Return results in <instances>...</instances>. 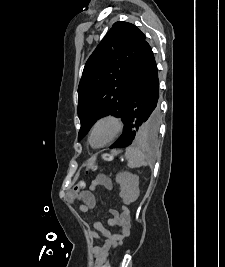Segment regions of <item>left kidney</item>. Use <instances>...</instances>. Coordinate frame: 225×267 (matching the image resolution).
Masks as SVG:
<instances>
[{
	"label": "left kidney",
	"mask_w": 225,
	"mask_h": 267,
	"mask_svg": "<svg viewBox=\"0 0 225 267\" xmlns=\"http://www.w3.org/2000/svg\"><path fill=\"white\" fill-rule=\"evenodd\" d=\"M116 182L120 184V197L124 204L129 205L135 202L140 194L139 177L130 172H121L116 176Z\"/></svg>",
	"instance_id": "5707ae66"
}]
</instances>
